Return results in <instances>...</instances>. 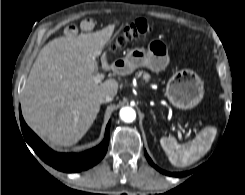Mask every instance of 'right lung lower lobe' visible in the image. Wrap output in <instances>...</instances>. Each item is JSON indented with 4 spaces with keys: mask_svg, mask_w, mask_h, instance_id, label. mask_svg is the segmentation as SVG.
<instances>
[{
    "mask_svg": "<svg viewBox=\"0 0 245 195\" xmlns=\"http://www.w3.org/2000/svg\"><path fill=\"white\" fill-rule=\"evenodd\" d=\"M19 115L21 129L27 143L45 163L59 171L74 173L86 170L97 164L106 154L109 143L110 122L106 127L105 138L100 145L82 153L67 154L54 152L49 147H47L40 140V138L26 125L20 109Z\"/></svg>",
    "mask_w": 245,
    "mask_h": 195,
    "instance_id": "right-lung-lower-lobe-1",
    "label": "right lung lower lobe"
}]
</instances>
